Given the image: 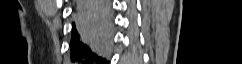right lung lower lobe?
<instances>
[{"label": "right lung lower lobe", "instance_id": "obj_1", "mask_svg": "<svg viewBox=\"0 0 242 64\" xmlns=\"http://www.w3.org/2000/svg\"><path fill=\"white\" fill-rule=\"evenodd\" d=\"M112 41L109 0H79L71 30L73 64H105Z\"/></svg>", "mask_w": 242, "mask_h": 64}]
</instances>
